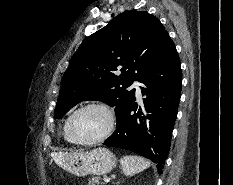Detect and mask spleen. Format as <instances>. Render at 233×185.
<instances>
[{
  "mask_svg": "<svg viewBox=\"0 0 233 185\" xmlns=\"http://www.w3.org/2000/svg\"><path fill=\"white\" fill-rule=\"evenodd\" d=\"M121 165L125 176H133L150 166V162L140 156L127 155L121 159Z\"/></svg>",
  "mask_w": 233,
  "mask_h": 185,
  "instance_id": "3e777b00",
  "label": "spleen"
}]
</instances>
